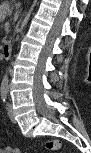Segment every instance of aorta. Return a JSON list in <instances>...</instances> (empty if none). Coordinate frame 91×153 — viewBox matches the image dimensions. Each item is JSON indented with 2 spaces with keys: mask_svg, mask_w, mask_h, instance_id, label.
<instances>
[{
  "mask_svg": "<svg viewBox=\"0 0 91 153\" xmlns=\"http://www.w3.org/2000/svg\"><path fill=\"white\" fill-rule=\"evenodd\" d=\"M2 84H4V85H7L8 84V75H7V72L4 75V77H3Z\"/></svg>",
  "mask_w": 91,
  "mask_h": 153,
  "instance_id": "aorta-1",
  "label": "aorta"
}]
</instances>
